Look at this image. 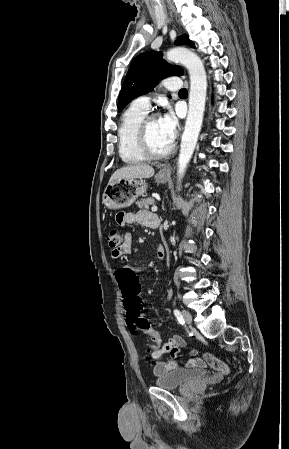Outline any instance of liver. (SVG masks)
Returning a JSON list of instances; mask_svg holds the SVG:
<instances>
[{
    "mask_svg": "<svg viewBox=\"0 0 289 449\" xmlns=\"http://www.w3.org/2000/svg\"><path fill=\"white\" fill-rule=\"evenodd\" d=\"M154 168L147 164L129 165L117 169L111 176L109 183L118 179H142L150 178L154 175Z\"/></svg>",
    "mask_w": 289,
    "mask_h": 449,
    "instance_id": "obj_1",
    "label": "liver"
}]
</instances>
